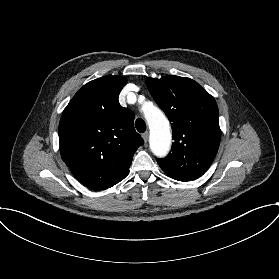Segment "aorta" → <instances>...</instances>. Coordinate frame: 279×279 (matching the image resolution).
I'll return each instance as SVG.
<instances>
[{
  "instance_id": "762f6f07",
  "label": "aorta",
  "mask_w": 279,
  "mask_h": 279,
  "mask_svg": "<svg viewBox=\"0 0 279 279\" xmlns=\"http://www.w3.org/2000/svg\"><path fill=\"white\" fill-rule=\"evenodd\" d=\"M145 118L150 128V148L158 157H164L171 144L170 126L163 112L151 106L145 111Z\"/></svg>"
}]
</instances>
